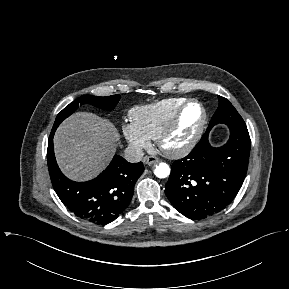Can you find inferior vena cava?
I'll use <instances>...</instances> for the list:
<instances>
[{
    "label": "inferior vena cava",
    "mask_w": 289,
    "mask_h": 289,
    "mask_svg": "<svg viewBox=\"0 0 289 289\" xmlns=\"http://www.w3.org/2000/svg\"><path fill=\"white\" fill-rule=\"evenodd\" d=\"M143 156H144L143 150L136 146H128L124 150V158L131 163L141 161Z\"/></svg>",
    "instance_id": "obj_1"
}]
</instances>
